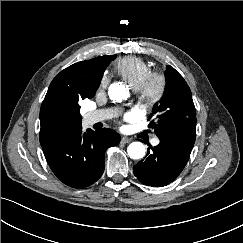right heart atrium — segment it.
Instances as JSON below:
<instances>
[{"instance_id": "right-heart-atrium-1", "label": "right heart atrium", "mask_w": 243, "mask_h": 243, "mask_svg": "<svg viewBox=\"0 0 243 243\" xmlns=\"http://www.w3.org/2000/svg\"><path fill=\"white\" fill-rule=\"evenodd\" d=\"M108 84H109V77L107 74H103L99 83L100 89H105L108 86Z\"/></svg>"}]
</instances>
